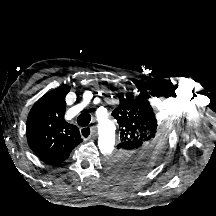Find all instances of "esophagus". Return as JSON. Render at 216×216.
<instances>
[{"label":"esophagus","mask_w":216,"mask_h":216,"mask_svg":"<svg viewBox=\"0 0 216 216\" xmlns=\"http://www.w3.org/2000/svg\"><path fill=\"white\" fill-rule=\"evenodd\" d=\"M89 132V135L85 137L84 135ZM81 136L85 139H90L95 136V129L93 127H83L80 129Z\"/></svg>","instance_id":"1"}]
</instances>
